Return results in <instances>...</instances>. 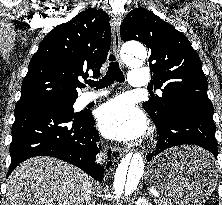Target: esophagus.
Segmentation results:
<instances>
[{"mask_svg": "<svg viewBox=\"0 0 222 205\" xmlns=\"http://www.w3.org/2000/svg\"><path fill=\"white\" fill-rule=\"evenodd\" d=\"M122 22V17L120 14L112 15V31H113V50L117 57L119 58L120 47H121V38H120V25ZM123 150L119 147H115L112 150V159L117 161L122 155Z\"/></svg>", "mask_w": 222, "mask_h": 205, "instance_id": "obj_1", "label": "esophagus"}]
</instances>
